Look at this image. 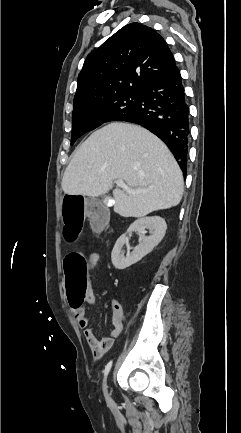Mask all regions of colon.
I'll list each match as a JSON object with an SVG mask.
<instances>
[{
	"instance_id": "5ec220e1",
	"label": "colon",
	"mask_w": 241,
	"mask_h": 433,
	"mask_svg": "<svg viewBox=\"0 0 241 433\" xmlns=\"http://www.w3.org/2000/svg\"><path fill=\"white\" fill-rule=\"evenodd\" d=\"M64 206L62 220L65 221L63 236L67 243H76L81 239L80 229H85L84 214H93V225L100 229L104 223V214H109V205H103L102 200H84V193L75 197L72 192L63 193ZM60 266L65 272V293L69 298L68 305H73L75 312L82 310V303L90 291L87 278V263L82 254L73 252L67 258L60 259Z\"/></svg>"
}]
</instances>
